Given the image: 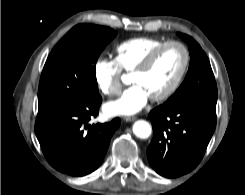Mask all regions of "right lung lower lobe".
<instances>
[{"label": "right lung lower lobe", "instance_id": "right-lung-lower-lobe-1", "mask_svg": "<svg viewBox=\"0 0 245 195\" xmlns=\"http://www.w3.org/2000/svg\"><path fill=\"white\" fill-rule=\"evenodd\" d=\"M101 102L99 96L87 103L38 112L37 139L46 159L58 171L84 176L102 163L120 120L89 125L90 118L98 115Z\"/></svg>", "mask_w": 245, "mask_h": 195}]
</instances>
